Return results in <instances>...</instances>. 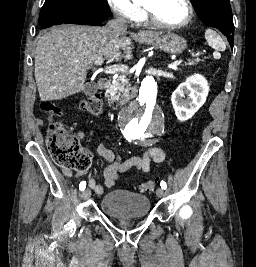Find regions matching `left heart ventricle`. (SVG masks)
Returning <instances> with one entry per match:
<instances>
[{"label": "left heart ventricle", "instance_id": "left-heart-ventricle-1", "mask_svg": "<svg viewBox=\"0 0 256 267\" xmlns=\"http://www.w3.org/2000/svg\"><path fill=\"white\" fill-rule=\"evenodd\" d=\"M152 9V20L157 26L179 23L186 17L185 7L175 1H164Z\"/></svg>", "mask_w": 256, "mask_h": 267}]
</instances>
